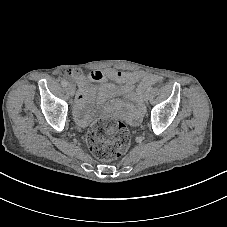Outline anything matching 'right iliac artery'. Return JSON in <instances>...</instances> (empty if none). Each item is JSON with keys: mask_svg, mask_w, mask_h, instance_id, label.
<instances>
[{"mask_svg": "<svg viewBox=\"0 0 227 227\" xmlns=\"http://www.w3.org/2000/svg\"><path fill=\"white\" fill-rule=\"evenodd\" d=\"M62 86L66 87L68 85V82L66 80L61 81Z\"/></svg>", "mask_w": 227, "mask_h": 227, "instance_id": "82829eb1", "label": "right iliac artery"}]
</instances>
